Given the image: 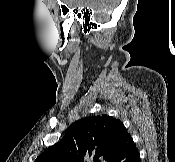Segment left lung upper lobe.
Returning <instances> with one entry per match:
<instances>
[{
    "instance_id": "left-lung-upper-lobe-1",
    "label": "left lung upper lobe",
    "mask_w": 175,
    "mask_h": 162,
    "mask_svg": "<svg viewBox=\"0 0 175 162\" xmlns=\"http://www.w3.org/2000/svg\"><path fill=\"white\" fill-rule=\"evenodd\" d=\"M127 132L123 123L107 115L88 116L74 122L64 137L40 154L35 162H109Z\"/></svg>"
}]
</instances>
